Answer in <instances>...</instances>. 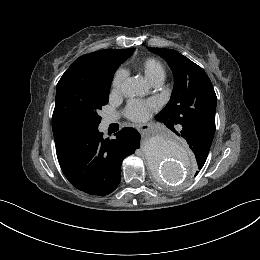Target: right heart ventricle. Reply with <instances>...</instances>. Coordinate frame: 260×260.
<instances>
[{"label": "right heart ventricle", "mask_w": 260, "mask_h": 260, "mask_svg": "<svg viewBox=\"0 0 260 260\" xmlns=\"http://www.w3.org/2000/svg\"><path fill=\"white\" fill-rule=\"evenodd\" d=\"M139 69L150 83L163 82L167 71L165 65L157 58L148 57L140 61Z\"/></svg>", "instance_id": "e07e8e85"}]
</instances>
